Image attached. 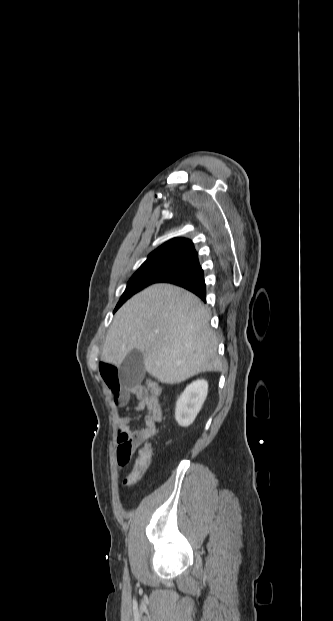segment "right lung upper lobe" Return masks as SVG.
<instances>
[{
    "label": "right lung upper lobe",
    "mask_w": 333,
    "mask_h": 621,
    "mask_svg": "<svg viewBox=\"0 0 333 621\" xmlns=\"http://www.w3.org/2000/svg\"><path fill=\"white\" fill-rule=\"evenodd\" d=\"M195 254H197V252L192 241L185 238H174L150 253L146 261L164 258H180L187 260Z\"/></svg>",
    "instance_id": "obj_1"
}]
</instances>
